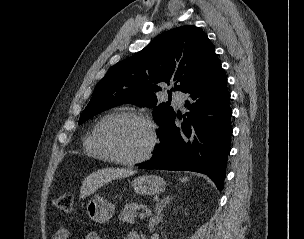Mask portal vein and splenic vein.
<instances>
[{
  "instance_id": "1",
  "label": "portal vein and splenic vein",
  "mask_w": 304,
  "mask_h": 239,
  "mask_svg": "<svg viewBox=\"0 0 304 239\" xmlns=\"http://www.w3.org/2000/svg\"><path fill=\"white\" fill-rule=\"evenodd\" d=\"M149 210L146 209V213L142 212L139 214L140 219H144L146 217V214H148Z\"/></svg>"
}]
</instances>
